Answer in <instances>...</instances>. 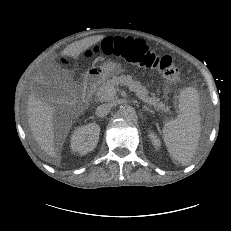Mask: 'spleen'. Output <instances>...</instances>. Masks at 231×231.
Instances as JSON below:
<instances>
[{
	"instance_id": "spleen-1",
	"label": "spleen",
	"mask_w": 231,
	"mask_h": 231,
	"mask_svg": "<svg viewBox=\"0 0 231 231\" xmlns=\"http://www.w3.org/2000/svg\"><path fill=\"white\" fill-rule=\"evenodd\" d=\"M162 132L172 160L188 164L196 153L201 134L199 98L194 88L181 92L178 117L165 123Z\"/></svg>"
}]
</instances>
